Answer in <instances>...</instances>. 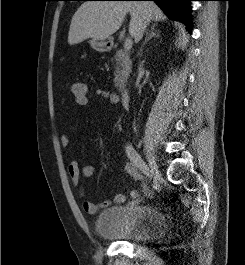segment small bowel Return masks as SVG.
<instances>
[{
  "mask_svg": "<svg viewBox=\"0 0 245 265\" xmlns=\"http://www.w3.org/2000/svg\"><path fill=\"white\" fill-rule=\"evenodd\" d=\"M94 95L98 98H105L113 103H117L119 101L118 96L115 93H112L108 90L97 88L94 90ZM69 137L66 134H63L60 137V144L62 147H67L69 145ZM67 172L70 178L71 183L78 187L79 196L84 199L83 201V210L90 215L97 214L101 209L110 206L111 204H124L126 201V197L124 194L118 193L113 199L105 200L100 203H96L86 199V194L84 188L81 184V179L89 178L95 173V167L92 164H86L83 167H79L78 162L76 160H70L67 164ZM125 172L133 177L136 180L142 181L143 176L136 168V166L132 163H128L125 166ZM130 196L133 199L138 197V192L136 190H132L130 192Z\"/></svg>",
  "mask_w": 245,
  "mask_h": 265,
  "instance_id": "small-bowel-1",
  "label": "small bowel"
}]
</instances>
